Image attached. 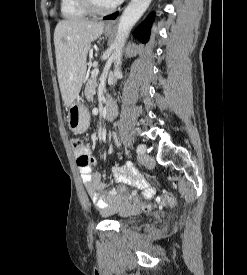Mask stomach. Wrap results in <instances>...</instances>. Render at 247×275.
Returning a JSON list of instances; mask_svg holds the SVG:
<instances>
[{"instance_id":"1","label":"stomach","mask_w":247,"mask_h":275,"mask_svg":"<svg viewBox=\"0 0 247 275\" xmlns=\"http://www.w3.org/2000/svg\"><path fill=\"white\" fill-rule=\"evenodd\" d=\"M111 31L106 28L105 35L109 36ZM68 124L72 131L81 133L87 130L90 123V115L87 108L80 102H73L68 109Z\"/></svg>"}]
</instances>
